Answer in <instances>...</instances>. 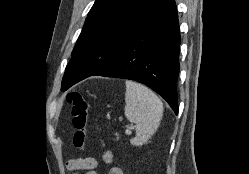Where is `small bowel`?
Masks as SVG:
<instances>
[{"mask_svg": "<svg viewBox=\"0 0 249 174\" xmlns=\"http://www.w3.org/2000/svg\"><path fill=\"white\" fill-rule=\"evenodd\" d=\"M112 154L106 151L102 155V160L110 164L112 162ZM99 165V160L94 157H81L76 159H70L67 162V169L73 174H78L81 171H86V174H97L95 169ZM108 174H124L119 167H111Z\"/></svg>", "mask_w": 249, "mask_h": 174, "instance_id": "c3829d8e", "label": "small bowel"}]
</instances>
